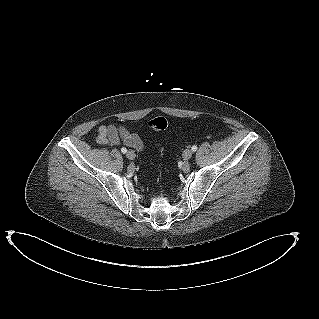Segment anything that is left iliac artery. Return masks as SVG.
<instances>
[{
  "label": "left iliac artery",
  "instance_id": "44dca946",
  "mask_svg": "<svg viewBox=\"0 0 319 319\" xmlns=\"http://www.w3.org/2000/svg\"><path fill=\"white\" fill-rule=\"evenodd\" d=\"M191 150H192L193 152H195V151L197 150V146H196V145H193L192 148H191Z\"/></svg>",
  "mask_w": 319,
  "mask_h": 319
}]
</instances>
